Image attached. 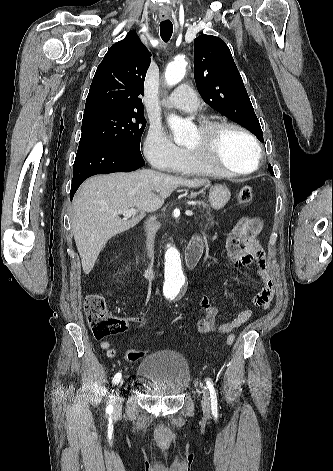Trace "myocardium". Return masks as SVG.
I'll use <instances>...</instances> for the list:
<instances>
[{"label": "myocardium", "instance_id": "f54148a6", "mask_svg": "<svg viewBox=\"0 0 333 471\" xmlns=\"http://www.w3.org/2000/svg\"><path fill=\"white\" fill-rule=\"evenodd\" d=\"M224 129H233L246 136L255 149V164L248 170H233L218 163L214 157L215 139L217 134ZM200 134V146L196 149L188 148L187 152L198 164L210 169L217 175L243 176L256 171L262 160V149L257 138L244 126L227 120H211L203 122L198 127Z\"/></svg>", "mask_w": 333, "mask_h": 471}]
</instances>
